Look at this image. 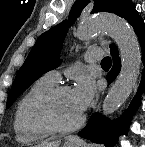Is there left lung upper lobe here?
I'll return each mask as SVG.
<instances>
[{
    "label": "left lung upper lobe",
    "instance_id": "5c2ea615",
    "mask_svg": "<svg viewBox=\"0 0 145 147\" xmlns=\"http://www.w3.org/2000/svg\"><path fill=\"white\" fill-rule=\"evenodd\" d=\"M88 2L89 0H77L71 9L68 21H63L39 36L15 77L9 91L6 108H9L17 97L40 76L58 67L60 61H57V56L68 31V25L76 20ZM131 3L129 0H95L91 13L110 12L123 17Z\"/></svg>",
    "mask_w": 145,
    "mask_h": 147
}]
</instances>
